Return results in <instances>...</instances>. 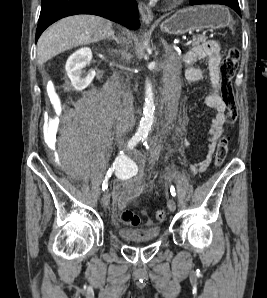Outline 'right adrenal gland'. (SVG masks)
Returning <instances> with one entry per match:
<instances>
[{"mask_svg": "<svg viewBox=\"0 0 267 298\" xmlns=\"http://www.w3.org/2000/svg\"><path fill=\"white\" fill-rule=\"evenodd\" d=\"M109 40H115L118 44H119V40L117 39V37L115 36V32H113L111 37H108Z\"/></svg>", "mask_w": 267, "mask_h": 298, "instance_id": "2a0ac1e0", "label": "right adrenal gland"}]
</instances>
